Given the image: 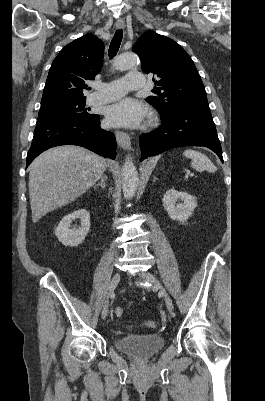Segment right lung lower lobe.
I'll return each instance as SVG.
<instances>
[{
	"label": "right lung lower lobe",
	"instance_id": "right-lung-lower-lobe-1",
	"mask_svg": "<svg viewBox=\"0 0 265 401\" xmlns=\"http://www.w3.org/2000/svg\"><path fill=\"white\" fill-rule=\"evenodd\" d=\"M66 144L85 147L104 157H116L114 134L100 128L98 115L84 119L48 118L37 122L26 167L43 151Z\"/></svg>",
	"mask_w": 265,
	"mask_h": 401
}]
</instances>
